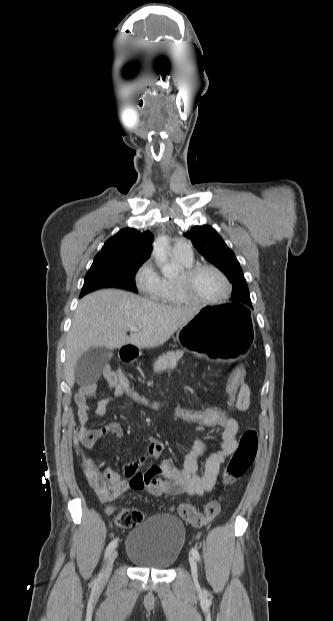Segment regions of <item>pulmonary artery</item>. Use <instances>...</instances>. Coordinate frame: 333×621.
I'll return each instance as SVG.
<instances>
[{
  "instance_id": "obj_1",
  "label": "pulmonary artery",
  "mask_w": 333,
  "mask_h": 621,
  "mask_svg": "<svg viewBox=\"0 0 333 621\" xmlns=\"http://www.w3.org/2000/svg\"><path fill=\"white\" fill-rule=\"evenodd\" d=\"M172 253L175 257L192 260L193 252L190 244L184 240L178 241L172 248Z\"/></svg>"
}]
</instances>
